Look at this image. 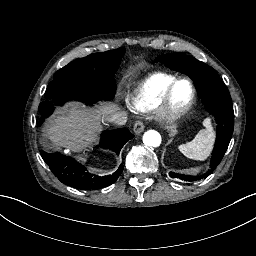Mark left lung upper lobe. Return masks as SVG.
Instances as JSON below:
<instances>
[{
	"label": "left lung upper lobe",
	"instance_id": "left-lung-upper-lobe-1",
	"mask_svg": "<svg viewBox=\"0 0 256 256\" xmlns=\"http://www.w3.org/2000/svg\"><path fill=\"white\" fill-rule=\"evenodd\" d=\"M156 61H162L171 69L187 74L193 81L206 109L212 113L218 123L217 138L213 150L210 168L203 175L209 176L221 162L231 139L234 127V112L230 94L213 68L183 53L161 55Z\"/></svg>",
	"mask_w": 256,
	"mask_h": 256
}]
</instances>
